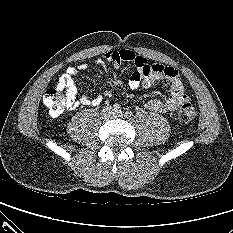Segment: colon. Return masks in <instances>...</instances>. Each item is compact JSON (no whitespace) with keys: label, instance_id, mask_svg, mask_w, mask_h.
<instances>
[{"label":"colon","instance_id":"colon-1","mask_svg":"<svg viewBox=\"0 0 233 233\" xmlns=\"http://www.w3.org/2000/svg\"><path fill=\"white\" fill-rule=\"evenodd\" d=\"M69 99L64 94L63 89L58 85L49 88L43 97V103L52 116H59L68 106ZM195 108L189 102L181 105L178 117L181 122L188 123L195 117Z\"/></svg>","mask_w":233,"mask_h":233}]
</instances>
